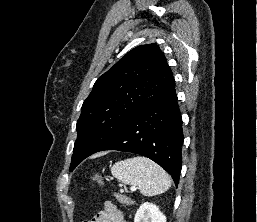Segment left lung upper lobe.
I'll list each match as a JSON object with an SVG mask.
<instances>
[{
	"label": "left lung upper lobe",
	"instance_id": "left-lung-upper-lobe-1",
	"mask_svg": "<svg viewBox=\"0 0 257 222\" xmlns=\"http://www.w3.org/2000/svg\"><path fill=\"white\" fill-rule=\"evenodd\" d=\"M173 80L156 44L132 49L100 76L82 105L70 170L98 152Z\"/></svg>",
	"mask_w": 257,
	"mask_h": 222
}]
</instances>
